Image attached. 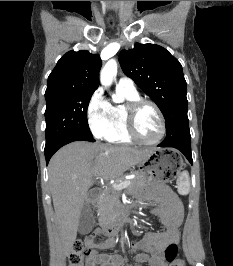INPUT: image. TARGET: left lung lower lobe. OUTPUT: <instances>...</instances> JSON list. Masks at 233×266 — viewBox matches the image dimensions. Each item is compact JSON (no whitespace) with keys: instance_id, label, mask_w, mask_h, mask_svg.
Instances as JSON below:
<instances>
[{"instance_id":"left-lung-lower-lobe-1","label":"left lung lower lobe","mask_w":233,"mask_h":266,"mask_svg":"<svg viewBox=\"0 0 233 266\" xmlns=\"http://www.w3.org/2000/svg\"><path fill=\"white\" fill-rule=\"evenodd\" d=\"M158 146L176 148L185 155L191 164L193 163L187 114L180 116L169 129H166V138Z\"/></svg>"}]
</instances>
